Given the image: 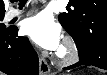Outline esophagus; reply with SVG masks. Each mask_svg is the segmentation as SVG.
<instances>
[{
	"label": "esophagus",
	"instance_id": "esophagus-1",
	"mask_svg": "<svg viewBox=\"0 0 107 75\" xmlns=\"http://www.w3.org/2000/svg\"><path fill=\"white\" fill-rule=\"evenodd\" d=\"M39 71L40 75H48L50 73V66L43 57H39Z\"/></svg>",
	"mask_w": 107,
	"mask_h": 75
}]
</instances>
